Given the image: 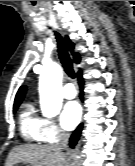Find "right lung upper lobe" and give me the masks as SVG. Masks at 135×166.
<instances>
[{"label":"right lung upper lobe","mask_w":135,"mask_h":166,"mask_svg":"<svg viewBox=\"0 0 135 166\" xmlns=\"http://www.w3.org/2000/svg\"><path fill=\"white\" fill-rule=\"evenodd\" d=\"M66 44H67V48L69 51L72 52V54L74 55V61L76 63L80 62V56L77 53H73L74 50V43L71 42V40L68 38V36H66ZM26 92V86H21L16 94L15 97V101H14V106H19L24 98Z\"/></svg>","instance_id":"right-lung-upper-lobe-1"}]
</instances>
